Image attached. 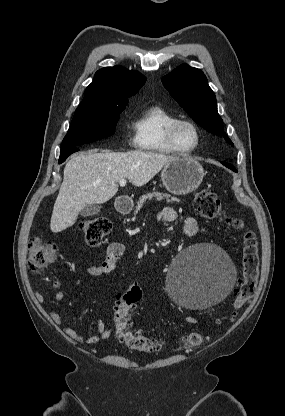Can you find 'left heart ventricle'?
<instances>
[{
  "label": "left heart ventricle",
  "instance_id": "obj_1",
  "mask_svg": "<svg viewBox=\"0 0 285 416\" xmlns=\"http://www.w3.org/2000/svg\"><path fill=\"white\" fill-rule=\"evenodd\" d=\"M176 142L182 149H191L196 144L194 130L187 124H181L175 132Z\"/></svg>",
  "mask_w": 285,
  "mask_h": 416
}]
</instances>
